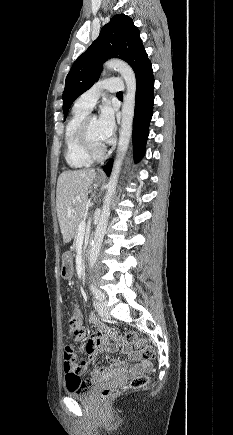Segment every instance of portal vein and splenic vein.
<instances>
[{
	"label": "portal vein and splenic vein",
	"mask_w": 233,
	"mask_h": 435,
	"mask_svg": "<svg viewBox=\"0 0 233 435\" xmlns=\"http://www.w3.org/2000/svg\"><path fill=\"white\" fill-rule=\"evenodd\" d=\"M85 228H86V222H85V220L80 221V223L78 225V234H84L85 233Z\"/></svg>",
	"instance_id": "obj_1"
}]
</instances>
